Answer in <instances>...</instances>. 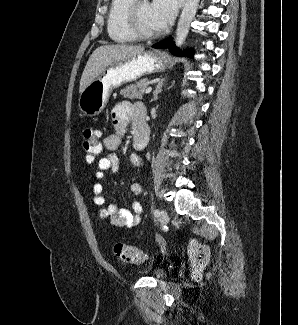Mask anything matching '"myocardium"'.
Masks as SVG:
<instances>
[{"instance_id":"obj_1","label":"myocardium","mask_w":298,"mask_h":325,"mask_svg":"<svg viewBox=\"0 0 298 325\" xmlns=\"http://www.w3.org/2000/svg\"><path fill=\"white\" fill-rule=\"evenodd\" d=\"M148 0H129L123 14V28L135 40L150 41L157 39L163 34V31L157 33L142 32L137 25L136 13L139 6Z\"/></svg>"}]
</instances>
